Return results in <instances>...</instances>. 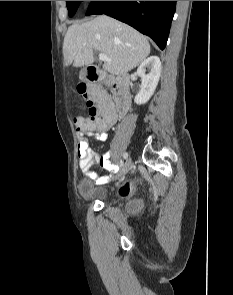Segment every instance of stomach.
I'll return each mask as SVG.
<instances>
[{
    "instance_id": "stomach-1",
    "label": "stomach",
    "mask_w": 233,
    "mask_h": 295,
    "mask_svg": "<svg viewBox=\"0 0 233 295\" xmlns=\"http://www.w3.org/2000/svg\"><path fill=\"white\" fill-rule=\"evenodd\" d=\"M80 78H81V79H85V76H84V73H83V72H81V74H80Z\"/></svg>"
}]
</instances>
